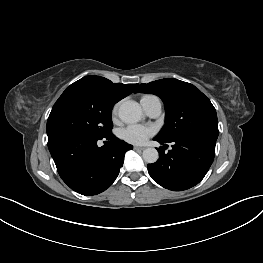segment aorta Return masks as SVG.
<instances>
[{
	"instance_id": "obj_1",
	"label": "aorta",
	"mask_w": 263,
	"mask_h": 263,
	"mask_svg": "<svg viewBox=\"0 0 263 263\" xmlns=\"http://www.w3.org/2000/svg\"><path fill=\"white\" fill-rule=\"evenodd\" d=\"M118 115L125 123H135L142 118V109L137 102L127 100L120 104ZM142 156L144 161L149 164L155 163L159 158L158 151L155 148L145 149Z\"/></svg>"
}]
</instances>
